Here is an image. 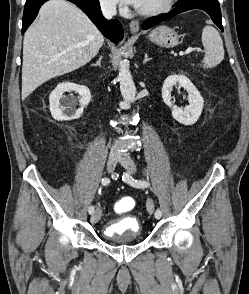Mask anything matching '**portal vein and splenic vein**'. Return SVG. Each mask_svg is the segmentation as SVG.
Instances as JSON below:
<instances>
[{
	"label": "portal vein and splenic vein",
	"mask_w": 249,
	"mask_h": 294,
	"mask_svg": "<svg viewBox=\"0 0 249 294\" xmlns=\"http://www.w3.org/2000/svg\"><path fill=\"white\" fill-rule=\"evenodd\" d=\"M192 51H193V49H188V50H186L185 52L180 53V55H181V56H183V55H187V54H190Z\"/></svg>",
	"instance_id": "portal-vein-and-splenic-vein-1"
}]
</instances>
